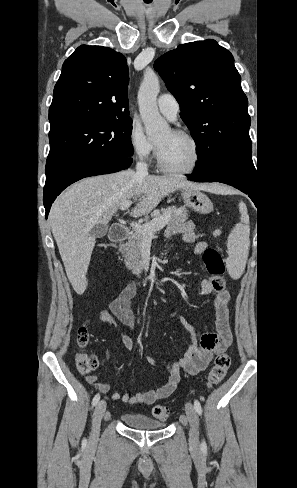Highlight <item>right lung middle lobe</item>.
Returning <instances> with one entry per match:
<instances>
[{
  "label": "right lung middle lobe",
  "instance_id": "right-lung-middle-lobe-1",
  "mask_svg": "<svg viewBox=\"0 0 297 488\" xmlns=\"http://www.w3.org/2000/svg\"><path fill=\"white\" fill-rule=\"evenodd\" d=\"M131 118L84 123L49 133L46 184L72 168L100 159L133 155Z\"/></svg>",
  "mask_w": 297,
  "mask_h": 488
}]
</instances>
